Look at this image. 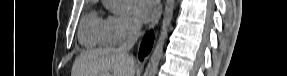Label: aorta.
<instances>
[{"instance_id": "762f6f07", "label": "aorta", "mask_w": 287, "mask_h": 76, "mask_svg": "<svg viewBox=\"0 0 287 76\" xmlns=\"http://www.w3.org/2000/svg\"><path fill=\"white\" fill-rule=\"evenodd\" d=\"M174 0H168L165 6L162 28L156 46L145 69L144 76H155L163 54V46L168 36V28L173 18Z\"/></svg>"}]
</instances>
